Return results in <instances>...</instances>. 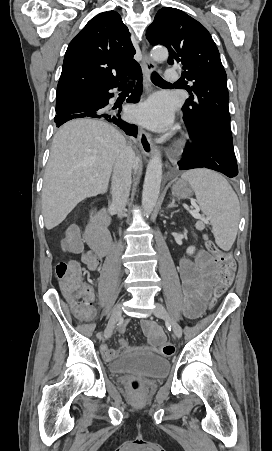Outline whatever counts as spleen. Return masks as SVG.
Segmentation results:
<instances>
[{
  "label": "spleen",
  "mask_w": 272,
  "mask_h": 451,
  "mask_svg": "<svg viewBox=\"0 0 272 451\" xmlns=\"http://www.w3.org/2000/svg\"><path fill=\"white\" fill-rule=\"evenodd\" d=\"M193 188L197 202L212 224L215 241L221 249L229 251L237 235L240 204L229 182L212 170L198 168L181 176Z\"/></svg>",
  "instance_id": "spleen-1"
}]
</instances>
